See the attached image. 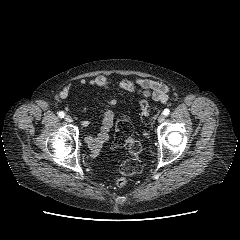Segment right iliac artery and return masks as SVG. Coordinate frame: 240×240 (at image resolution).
<instances>
[{"mask_svg":"<svg viewBox=\"0 0 240 240\" xmlns=\"http://www.w3.org/2000/svg\"><path fill=\"white\" fill-rule=\"evenodd\" d=\"M58 116H59L60 118H64V116H65V113H64V112H62V111H60V112L58 113Z\"/></svg>","mask_w":240,"mask_h":240,"instance_id":"1","label":"right iliac artery"}]
</instances>
